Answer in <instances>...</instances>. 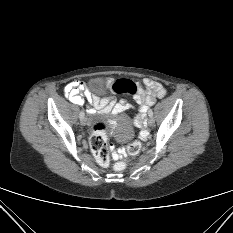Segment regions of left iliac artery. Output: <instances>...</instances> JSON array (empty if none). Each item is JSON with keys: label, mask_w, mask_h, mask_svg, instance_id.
I'll return each instance as SVG.
<instances>
[{"label": "left iliac artery", "mask_w": 233, "mask_h": 233, "mask_svg": "<svg viewBox=\"0 0 233 233\" xmlns=\"http://www.w3.org/2000/svg\"><path fill=\"white\" fill-rule=\"evenodd\" d=\"M148 115H149L150 117H152V116H153V111H152L151 109H149V111H148Z\"/></svg>", "instance_id": "44dca946"}]
</instances>
